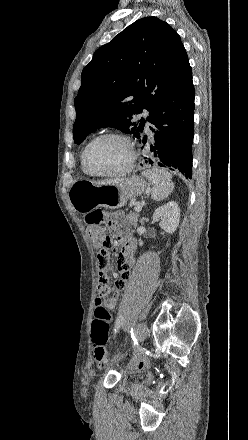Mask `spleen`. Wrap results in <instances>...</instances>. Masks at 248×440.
Here are the masks:
<instances>
[{"label":"spleen","mask_w":248,"mask_h":440,"mask_svg":"<svg viewBox=\"0 0 248 440\" xmlns=\"http://www.w3.org/2000/svg\"><path fill=\"white\" fill-rule=\"evenodd\" d=\"M142 175L152 183V198L155 201L165 199L174 189L172 175L165 169H147L142 172Z\"/></svg>","instance_id":"obj_1"}]
</instances>
